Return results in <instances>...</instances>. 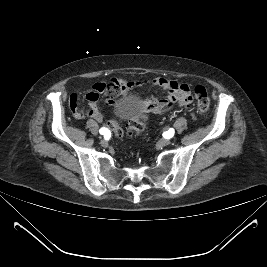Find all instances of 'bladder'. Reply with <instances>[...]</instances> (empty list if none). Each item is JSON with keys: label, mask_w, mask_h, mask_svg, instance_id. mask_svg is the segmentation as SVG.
I'll list each match as a JSON object with an SVG mask.
<instances>
[{"label": "bladder", "mask_w": 267, "mask_h": 267, "mask_svg": "<svg viewBox=\"0 0 267 267\" xmlns=\"http://www.w3.org/2000/svg\"><path fill=\"white\" fill-rule=\"evenodd\" d=\"M141 114L139 105L130 99H123L115 106V115L121 121L137 118Z\"/></svg>", "instance_id": "1"}]
</instances>
